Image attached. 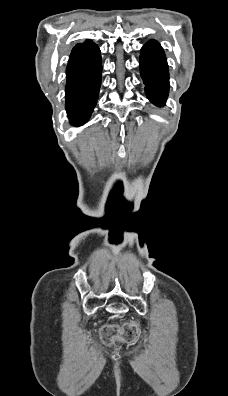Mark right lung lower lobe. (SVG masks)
Here are the masks:
<instances>
[{"mask_svg": "<svg viewBox=\"0 0 228 396\" xmlns=\"http://www.w3.org/2000/svg\"><path fill=\"white\" fill-rule=\"evenodd\" d=\"M82 44L73 48L66 69V111L74 125H82L89 119L101 85L100 50L95 43Z\"/></svg>", "mask_w": 228, "mask_h": 396, "instance_id": "1", "label": "right lung lower lobe"}]
</instances>
